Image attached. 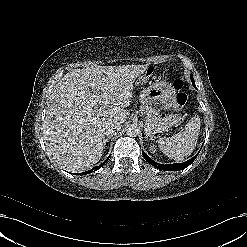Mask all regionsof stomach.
<instances>
[{
    "instance_id": "0dacf381",
    "label": "stomach",
    "mask_w": 247,
    "mask_h": 247,
    "mask_svg": "<svg viewBox=\"0 0 247 247\" xmlns=\"http://www.w3.org/2000/svg\"><path fill=\"white\" fill-rule=\"evenodd\" d=\"M144 81V77L140 76L136 84ZM141 98L147 103L160 102L164 109H172L176 107V92L172 85L166 81L151 83L149 87L143 90Z\"/></svg>"
}]
</instances>
